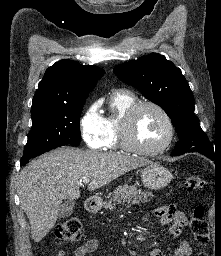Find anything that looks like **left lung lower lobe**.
Returning a JSON list of instances; mask_svg holds the SVG:
<instances>
[{"label": "left lung lower lobe", "instance_id": "0a47b994", "mask_svg": "<svg viewBox=\"0 0 221 256\" xmlns=\"http://www.w3.org/2000/svg\"><path fill=\"white\" fill-rule=\"evenodd\" d=\"M188 151H191V152H198V153H201L202 155L216 161V158H217V155L216 153L214 152H209V151H205V150H202V149H198V148H192ZM186 151H174L171 153L172 156H178V155H182L184 154Z\"/></svg>", "mask_w": 221, "mask_h": 256}]
</instances>
